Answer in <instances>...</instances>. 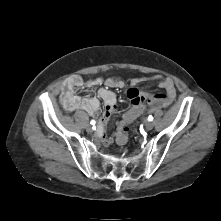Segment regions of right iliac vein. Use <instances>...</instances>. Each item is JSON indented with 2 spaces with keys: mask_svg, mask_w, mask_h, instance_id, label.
<instances>
[{
  "mask_svg": "<svg viewBox=\"0 0 221 221\" xmlns=\"http://www.w3.org/2000/svg\"><path fill=\"white\" fill-rule=\"evenodd\" d=\"M87 132L92 133L93 132V128L90 125H87L86 127Z\"/></svg>",
  "mask_w": 221,
  "mask_h": 221,
  "instance_id": "right-iliac-vein-1",
  "label": "right iliac vein"
}]
</instances>
